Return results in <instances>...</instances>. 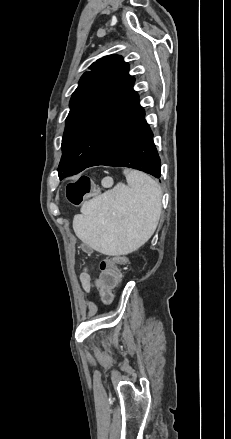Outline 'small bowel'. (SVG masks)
I'll list each match as a JSON object with an SVG mask.
<instances>
[{
    "label": "small bowel",
    "mask_w": 231,
    "mask_h": 439,
    "mask_svg": "<svg viewBox=\"0 0 231 439\" xmlns=\"http://www.w3.org/2000/svg\"><path fill=\"white\" fill-rule=\"evenodd\" d=\"M80 281L83 289L87 292L90 291L92 288H96L100 291V285L104 283L100 282L98 277L92 280L90 274L86 270L81 273Z\"/></svg>",
    "instance_id": "c3829d8e"
}]
</instances>
